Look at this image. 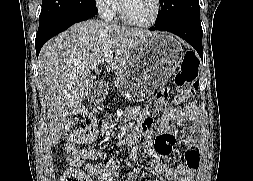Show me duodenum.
Wrapping results in <instances>:
<instances>
[{
  "mask_svg": "<svg viewBox=\"0 0 253 181\" xmlns=\"http://www.w3.org/2000/svg\"><path fill=\"white\" fill-rule=\"evenodd\" d=\"M106 94V88L103 84L95 85L88 93L93 102H101Z\"/></svg>",
  "mask_w": 253,
  "mask_h": 181,
  "instance_id": "duodenum-1",
  "label": "duodenum"
}]
</instances>
